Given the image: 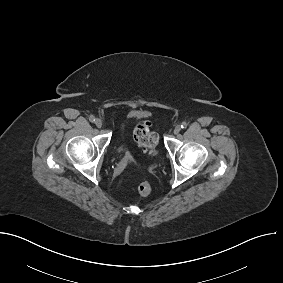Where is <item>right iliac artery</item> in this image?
Segmentation results:
<instances>
[{
	"instance_id": "obj_1",
	"label": "right iliac artery",
	"mask_w": 283,
	"mask_h": 283,
	"mask_svg": "<svg viewBox=\"0 0 283 283\" xmlns=\"http://www.w3.org/2000/svg\"><path fill=\"white\" fill-rule=\"evenodd\" d=\"M89 121H90V122H95V117H94L93 115H91V116L89 117Z\"/></svg>"
}]
</instances>
